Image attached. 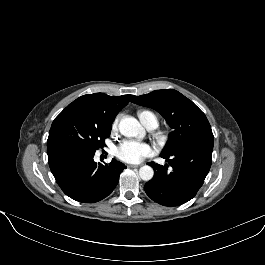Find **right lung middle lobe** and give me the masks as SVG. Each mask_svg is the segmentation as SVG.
Segmentation results:
<instances>
[{"instance_id": "1", "label": "right lung middle lobe", "mask_w": 265, "mask_h": 265, "mask_svg": "<svg viewBox=\"0 0 265 265\" xmlns=\"http://www.w3.org/2000/svg\"><path fill=\"white\" fill-rule=\"evenodd\" d=\"M112 124L101 123L78 115L56 117L52 123L47 146L57 143H73L96 151L109 137Z\"/></svg>"}]
</instances>
